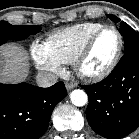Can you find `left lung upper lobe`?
Returning a JSON list of instances; mask_svg holds the SVG:
<instances>
[{
	"mask_svg": "<svg viewBox=\"0 0 139 139\" xmlns=\"http://www.w3.org/2000/svg\"><path fill=\"white\" fill-rule=\"evenodd\" d=\"M109 18L115 23L120 22V33L124 37V52L139 48V35L136 31L116 16L109 15Z\"/></svg>",
	"mask_w": 139,
	"mask_h": 139,
	"instance_id": "5c2ea615",
	"label": "left lung upper lobe"
}]
</instances>
